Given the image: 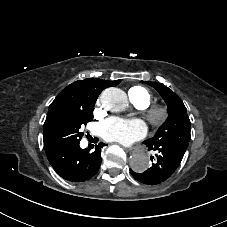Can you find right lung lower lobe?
I'll return each instance as SVG.
<instances>
[{"instance_id": "right-lung-lower-lobe-1", "label": "right lung lower lobe", "mask_w": 227, "mask_h": 227, "mask_svg": "<svg viewBox=\"0 0 227 227\" xmlns=\"http://www.w3.org/2000/svg\"><path fill=\"white\" fill-rule=\"evenodd\" d=\"M80 142L66 145L46 154L53 169L61 177L72 182H81L92 178L101 165V148L99 143L94 152L81 149Z\"/></svg>"}]
</instances>
